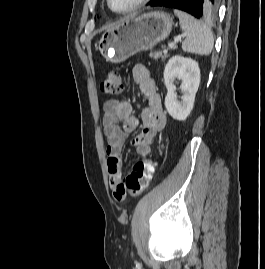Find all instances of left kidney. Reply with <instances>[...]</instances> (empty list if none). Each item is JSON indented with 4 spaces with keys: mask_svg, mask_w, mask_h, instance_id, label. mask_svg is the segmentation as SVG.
I'll return each instance as SVG.
<instances>
[{
    "mask_svg": "<svg viewBox=\"0 0 265 269\" xmlns=\"http://www.w3.org/2000/svg\"><path fill=\"white\" fill-rule=\"evenodd\" d=\"M176 79L181 80L180 89L183 93L181 101L177 100L176 86L174 85ZM164 82L167 88L165 107L169 115L179 121L186 120L193 109L200 84L198 63L191 58L178 55L172 57L164 69Z\"/></svg>",
    "mask_w": 265,
    "mask_h": 269,
    "instance_id": "5707ae66",
    "label": "left kidney"
}]
</instances>
